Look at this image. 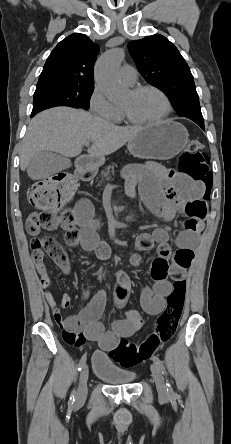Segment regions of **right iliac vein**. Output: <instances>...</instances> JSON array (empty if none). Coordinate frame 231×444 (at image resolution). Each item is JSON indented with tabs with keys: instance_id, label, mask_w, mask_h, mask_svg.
Wrapping results in <instances>:
<instances>
[{
	"instance_id": "right-iliac-vein-1",
	"label": "right iliac vein",
	"mask_w": 231,
	"mask_h": 444,
	"mask_svg": "<svg viewBox=\"0 0 231 444\" xmlns=\"http://www.w3.org/2000/svg\"><path fill=\"white\" fill-rule=\"evenodd\" d=\"M88 378H89V368L88 365L84 364L82 367V371L80 373L79 385L75 396L77 404H82L85 402L87 396Z\"/></svg>"
}]
</instances>
